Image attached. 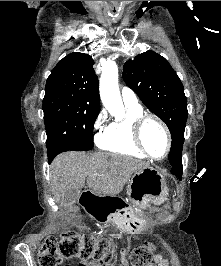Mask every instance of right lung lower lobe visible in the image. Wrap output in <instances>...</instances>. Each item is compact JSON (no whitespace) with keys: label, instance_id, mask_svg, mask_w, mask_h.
I'll return each mask as SVG.
<instances>
[{"label":"right lung lower lobe","instance_id":"1","mask_svg":"<svg viewBox=\"0 0 221 266\" xmlns=\"http://www.w3.org/2000/svg\"><path fill=\"white\" fill-rule=\"evenodd\" d=\"M53 158H54L53 156H48L49 162H51Z\"/></svg>","mask_w":221,"mask_h":266}]
</instances>
